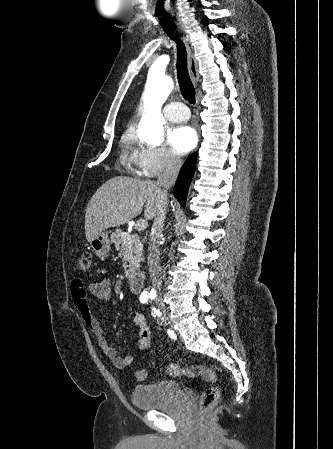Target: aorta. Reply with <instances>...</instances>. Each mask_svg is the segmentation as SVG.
Returning a JSON list of instances; mask_svg holds the SVG:
<instances>
[{"mask_svg":"<svg viewBox=\"0 0 333 449\" xmlns=\"http://www.w3.org/2000/svg\"><path fill=\"white\" fill-rule=\"evenodd\" d=\"M173 89V81L156 64L150 67L144 91L143 117L139 136L150 143L160 144L164 140V118L161 109Z\"/></svg>","mask_w":333,"mask_h":449,"instance_id":"aorta-1","label":"aorta"}]
</instances>
